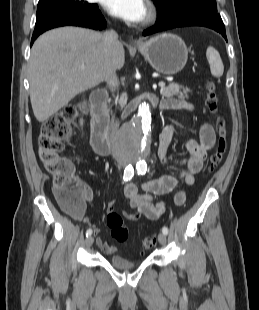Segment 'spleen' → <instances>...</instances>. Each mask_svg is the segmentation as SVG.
I'll use <instances>...</instances> for the list:
<instances>
[{"label": "spleen", "instance_id": "spleen-1", "mask_svg": "<svg viewBox=\"0 0 259 310\" xmlns=\"http://www.w3.org/2000/svg\"><path fill=\"white\" fill-rule=\"evenodd\" d=\"M206 57L210 65L211 74L214 77L222 76L224 72V65L219 52L214 47L209 46L206 51Z\"/></svg>", "mask_w": 259, "mask_h": 310}]
</instances>
